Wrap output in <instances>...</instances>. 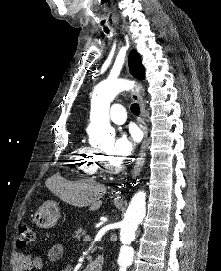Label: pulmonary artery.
Here are the masks:
<instances>
[{
  "mask_svg": "<svg viewBox=\"0 0 221 271\" xmlns=\"http://www.w3.org/2000/svg\"><path fill=\"white\" fill-rule=\"evenodd\" d=\"M107 113L109 122H116V126H122V122H127L126 108L125 107H110Z\"/></svg>",
  "mask_w": 221,
  "mask_h": 271,
  "instance_id": "pulmonary-artery-1",
  "label": "pulmonary artery"
}]
</instances>
